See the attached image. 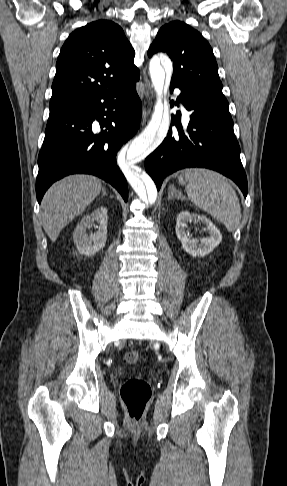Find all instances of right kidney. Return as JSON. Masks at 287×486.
Wrapping results in <instances>:
<instances>
[{"instance_id":"obj_1","label":"right kidney","mask_w":287,"mask_h":486,"mask_svg":"<svg viewBox=\"0 0 287 486\" xmlns=\"http://www.w3.org/2000/svg\"><path fill=\"white\" fill-rule=\"evenodd\" d=\"M107 208L100 206L89 215L82 218L73 233V240L80 254L92 256L103 249L107 240ZM97 222V231L88 235L86 229L91 228Z\"/></svg>"}]
</instances>
